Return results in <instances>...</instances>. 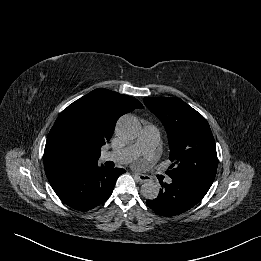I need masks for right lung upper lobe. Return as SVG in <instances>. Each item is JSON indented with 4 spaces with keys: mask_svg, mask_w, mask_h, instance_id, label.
<instances>
[{
    "mask_svg": "<svg viewBox=\"0 0 261 261\" xmlns=\"http://www.w3.org/2000/svg\"><path fill=\"white\" fill-rule=\"evenodd\" d=\"M143 105L135 98L98 88L64 109L50 130L44 168L48 180L97 164L116 121Z\"/></svg>",
    "mask_w": 261,
    "mask_h": 261,
    "instance_id": "obj_1",
    "label": "right lung upper lobe"
}]
</instances>
